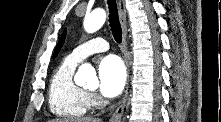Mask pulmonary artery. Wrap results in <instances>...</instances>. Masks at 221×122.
<instances>
[{
	"label": "pulmonary artery",
	"mask_w": 221,
	"mask_h": 122,
	"mask_svg": "<svg viewBox=\"0 0 221 122\" xmlns=\"http://www.w3.org/2000/svg\"><path fill=\"white\" fill-rule=\"evenodd\" d=\"M109 44L103 38H93L79 46H77L69 55L70 58L77 62L83 61L88 56L107 51Z\"/></svg>",
	"instance_id": "e3ab8cb5"
}]
</instances>
